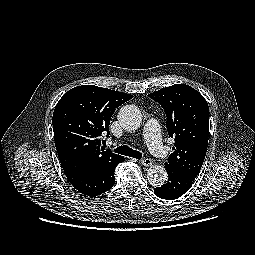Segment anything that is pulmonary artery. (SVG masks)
Here are the masks:
<instances>
[{
  "mask_svg": "<svg viewBox=\"0 0 255 255\" xmlns=\"http://www.w3.org/2000/svg\"><path fill=\"white\" fill-rule=\"evenodd\" d=\"M143 137L149 149L157 156H160L165 148L161 141L160 127L157 120L151 118L145 123Z\"/></svg>",
  "mask_w": 255,
  "mask_h": 255,
  "instance_id": "obj_1",
  "label": "pulmonary artery"
}]
</instances>
